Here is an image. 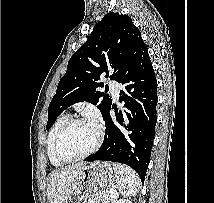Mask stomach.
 <instances>
[{"mask_svg": "<svg viewBox=\"0 0 214 203\" xmlns=\"http://www.w3.org/2000/svg\"><path fill=\"white\" fill-rule=\"evenodd\" d=\"M116 170L106 162L86 165L77 189L66 203H101L103 196L115 185Z\"/></svg>", "mask_w": 214, "mask_h": 203, "instance_id": "0dacf381", "label": "stomach"}]
</instances>
